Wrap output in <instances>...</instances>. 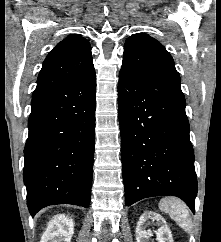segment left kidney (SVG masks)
<instances>
[{"instance_id": "left-kidney-1", "label": "left kidney", "mask_w": 221, "mask_h": 242, "mask_svg": "<svg viewBox=\"0 0 221 242\" xmlns=\"http://www.w3.org/2000/svg\"><path fill=\"white\" fill-rule=\"evenodd\" d=\"M148 219L155 220L159 228L154 231L158 242H173V237L165 219L152 211L144 212L137 223L136 242H149L152 231L145 230V223Z\"/></svg>"}]
</instances>
